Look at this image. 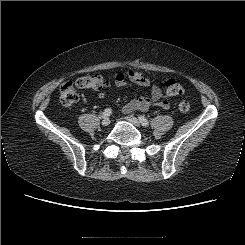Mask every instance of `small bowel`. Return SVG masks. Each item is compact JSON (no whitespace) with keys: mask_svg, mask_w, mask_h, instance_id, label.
<instances>
[{"mask_svg":"<svg viewBox=\"0 0 245 245\" xmlns=\"http://www.w3.org/2000/svg\"><path fill=\"white\" fill-rule=\"evenodd\" d=\"M114 84L121 88H132V84L147 87L151 85V79L140 71L130 70L116 74ZM105 96L106 90L103 88L99 91V97L104 98ZM152 105H157L165 110L170 108L169 98L158 86H153L149 93L134 92V98L125 104L123 112L128 114L135 111H147Z\"/></svg>","mask_w":245,"mask_h":245,"instance_id":"small-bowel-1","label":"small bowel"}]
</instances>
